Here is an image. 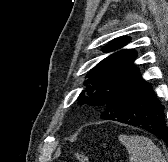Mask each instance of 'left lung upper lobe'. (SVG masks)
<instances>
[{"label": "left lung upper lobe", "instance_id": "obj_1", "mask_svg": "<svg viewBox=\"0 0 168 162\" xmlns=\"http://www.w3.org/2000/svg\"><path fill=\"white\" fill-rule=\"evenodd\" d=\"M130 37H118L103 47V52H110L125 46ZM137 56L135 50H120L103 59L88 74L85 86L78 97V104L106 108L109 96L120 86L129 81L139 70L133 65Z\"/></svg>", "mask_w": 168, "mask_h": 162}]
</instances>
